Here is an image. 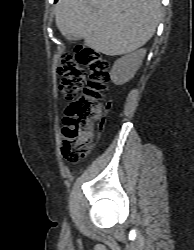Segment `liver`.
<instances>
[{
    "label": "liver",
    "mask_w": 194,
    "mask_h": 250,
    "mask_svg": "<svg viewBox=\"0 0 194 250\" xmlns=\"http://www.w3.org/2000/svg\"><path fill=\"white\" fill-rule=\"evenodd\" d=\"M160 17V0H59L55 6L62 35L80 36L86 46L109 56L146 44Z\"/></svg>",
    "instance_id": "6515ba94"
}]
</instances>
